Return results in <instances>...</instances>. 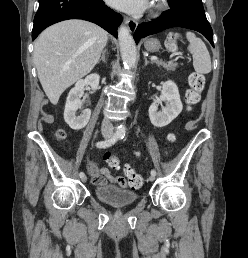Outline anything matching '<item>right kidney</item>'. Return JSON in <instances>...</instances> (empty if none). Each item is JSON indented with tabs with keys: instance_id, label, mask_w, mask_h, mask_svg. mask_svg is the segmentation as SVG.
Returning <instances> with one entry per match:
<instances>
[{
	"instance_id": "1",
	"label": "right kidney",
	"mask_w": 248,
	"mask_h": 258,
	"mask_svg": "<svg viewBox=\"0 0 248 258\" xmlns=\"http://www.w3.org/2000/svg\"><path fill=\"white\" fill-rule=\"evenodd\" d=\"M99 80L100 77L96 73L88 75L85 79L77 81L74 88L70 90L65 104L64 120L71 129L80 130L89 122L91 116L89 109L83 110L80 116H76V111L80 108V97L84 94L85 86L95 91Z\"/></svg>"
}]
</instances>
